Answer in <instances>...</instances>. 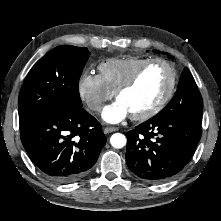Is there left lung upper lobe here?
I'll use <instances>...</instances> for the list:
<instances>
[{
  "label": "left lung upper lobe",
  "instance_id": "obj_1",
  "mask_svg": "<svg viewBox=\"0 0 221 221\" xmlns=\"http://www.w3.org/2000/svg\"><path fill=\"white\" fill-rule=\"evenodd\" d=\"M161 111L178 114L201 124L203 101L195 80L187 67L182 72L174 97Z\"/></svg>",
  "mask_w": 221,
  "mask_h": 221
}]
</instances>
